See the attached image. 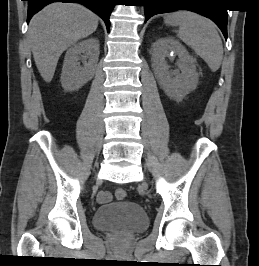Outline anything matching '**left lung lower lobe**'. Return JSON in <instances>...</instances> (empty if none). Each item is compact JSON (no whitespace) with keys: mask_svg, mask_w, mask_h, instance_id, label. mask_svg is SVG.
Masks as SVG:
<instances>
[{"mask_svg":"<svg viewBox=\"0 0 259 266\" xmlns=\"http://www.w3.org/2000/svg\"><path fill=\"white\" fill-rule=\"evenodd\" d=\"M216 0H142L144 6L145 22L153 15L175 11L176 9H188L210 18L221 29L227 39V10L215 8ZM196 6V7H189Z\"/></svg>","mask_w":259,"mask_h":266,"instance_id":"left-lung-lower-lobe-1","label":"left lung lower lobe"}]
</instances>
